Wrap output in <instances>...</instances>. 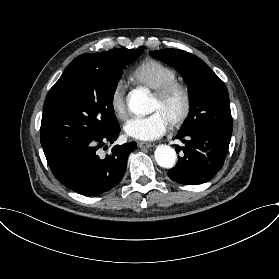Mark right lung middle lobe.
I'll use <instances>...</instances> for the list:
<instances>
[{"label":"right lung middle lobe","mask_w":279,"mask_h":279,"mask_svg":"<svg viewBox=\"0 0 279 279\" xmlns=\"http://www.w3.org/2000/svg\"><path fill=\"white\" fill-rule=\"evenodd\" d=\"M143 50H119L104 65L78 56L53 85L44 104L40 141L45 156L77 141L92 140L118 124L112 105L123 68Z\"/></svg>","instance_id":"right-lung-middle-lobe-1"}]
</instances>
